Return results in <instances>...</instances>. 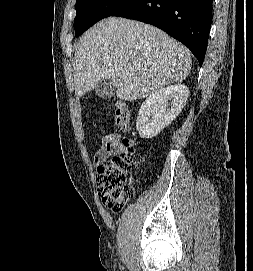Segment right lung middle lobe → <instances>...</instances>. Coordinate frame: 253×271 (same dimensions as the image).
Segmentation results:
<instances>
[{
  "instance_id": "right-lung-middle-lobe-1",
  "label": "right lung middle lobe",
  "mask_w": 253,
  "mask_h": 271,
  "mask_svg": "<svg viewBox=\"0 0 253 271\" xmlns=\"http://www.w3.org/2000/svg\"><path fill=\"white\" fill-rule=\"evenodd\" d=\"M128 0H77L75 36L81 35L99 20L112 16Z\"/></svg>"
}]
</instances>
